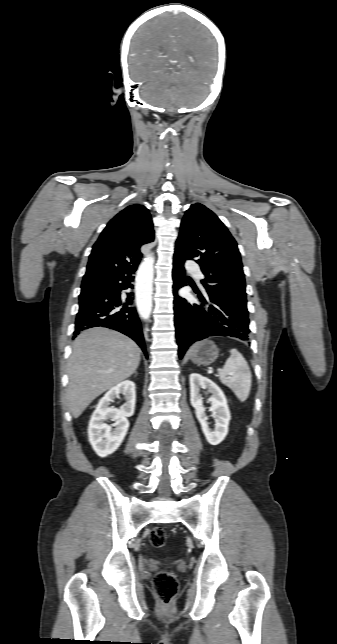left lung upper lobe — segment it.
Wrapping results in <instances>:
<instances>
[{
	"label": "left lung upper lobe",
	"instance_id": "5c2ea615",
	"mask_svg": "<svg viewBox=\"0 0 337 644\" xmlns=\"http://www.w3.org/2000/svg\"><path fill=\"white\" fill-rule=\"evenodd\" d=\"M174 257L185 262L198 258L205 290L227 299L248 315L245 278L237 243L207 207L192 204L182 219Z\"/></svg>",
	"mask_w": 337,
	"mask_h": 644
}]
</instances>
